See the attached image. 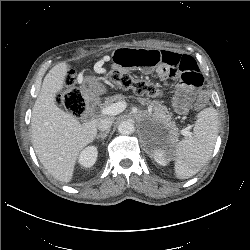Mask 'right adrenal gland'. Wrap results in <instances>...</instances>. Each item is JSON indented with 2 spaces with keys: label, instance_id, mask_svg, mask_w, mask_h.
<instances>
[{
  "label": "right adrenal gland",
  "instance_id": "obj_1",
  "mask_svg": "<svg viewBox=\"0 0 250 250\" xmlns=\"http://www.w3.org/2000/svg\"><path fill=\"white\" fill-rule=\"evenodd\" d=\"M108 133H109V131L104 132V133H100V134H98V135L96 136V138H97V139L101 138L102 140H104V139L107 137Z\"/></svg>",
  "mask_w": 250,
  "mask_h": 250
}]
</instances>
